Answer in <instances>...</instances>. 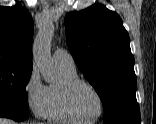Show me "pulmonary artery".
<instances>
[{"label": "pulmonary artery", "mask_w": 156, "mask_h": 124, "mask_svg": "<svg viewBox=\"0 0 156 124\" xmlns=\"http://www.w3.org/2000/svg\"><path fill=\"white\" fill-rule=\"evenodd\" d=\"M53 59L58 66L75 69V62L72 55L64 49H56L53 53Z\"/></svg>", "instance_id": "e3ab8cb5"}]
</instances>
